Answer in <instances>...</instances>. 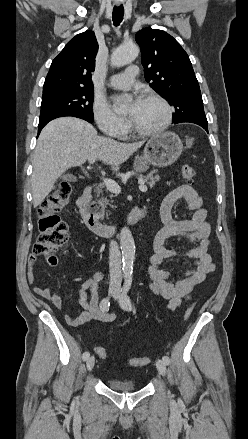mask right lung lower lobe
I'll return each mask as SVG.
<instances>
[{"label": "right lung lower lobe", "instance_id": "1", "mask_svg": "<svg viewBox=\"0 0 248 439\" xmlns=\"http://www.w3.org/2000/svg\"><path fill=\"white\" fill-rule=\"evenodd\" d=\"M64 116H73V117L81 118V119H83V120L88 121L89 123H93V121H94V120H91V119H89V118H87V117H85V116H82V115H76V114H65V115H60V116H56V117H53V118H50V119H47V120L39 121V125H38V135H39L40 131L42 130V128H43L48 122H50L51 120H53V119H55V118H58V117H64Z\"/></svg>", "mask_w": 248, "mask_h": 439}]
</instances>
